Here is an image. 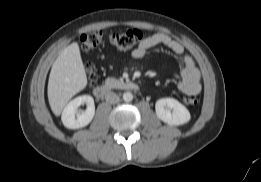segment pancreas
Segmentation results:
<instances>
[{"label": "pancreas", "mask_w": 261, "mask_h": 182, "mask_svg": "<svg viewBox=\"0 0 261 182\" xmlns=\"http://www.w3.org/2000/svg\"><path fill=\"white\" fill-rule=\"evenodd\" d=\"M121 84L120 80H117L115 78L109 77L105 80V85L109 88H116Z\"/></svg>", "instance_id": "obj_1"}]
</instances>
